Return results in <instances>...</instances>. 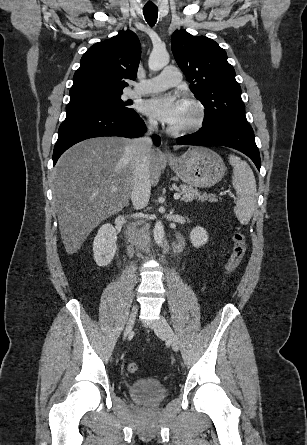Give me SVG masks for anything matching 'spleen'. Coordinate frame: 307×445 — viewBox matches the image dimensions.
Masks as SVG:
<instances>
[{"label":"spleen","instance_id":"1","mask_svg":"<svg viewBox=\"0 0 307 445\" xmlns=\"http://www.w3.org/2000/svg\"><path fill=\"white\" fill-rule=\"evenodd\" d=\"M229 162L233 166L232 184L236 190L234 212L241 225H248L256 208V180L252 168L240 156L229 154Z\"/></svg>","mask_w":307,"mask_h":445}]
</instances>
